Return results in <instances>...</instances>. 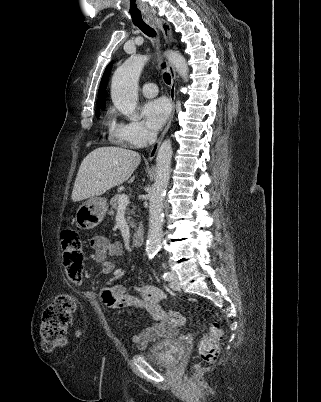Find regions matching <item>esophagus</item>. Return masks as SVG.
<instances>
[{"instance_id":"34e87169","label":"esophagus","mask_w":321,"mask_h":402,"mask_svg":"<svg viewBox=\"0 0 321 402\" xmlns=\"http://www.w3.org/2000/svg\"><path fill=\"white\" fill-rule=\"evenodd\" d=\"M153 23H155L157 25V27L159 28V30L162 32L166 44L171 45L174 42V36H173V32H172L170 24L163 18H157L153 21ZM168 70H169V73L171 76L169 98L171 101L172 109H171V114H170V117H169V120H168V123H167L165 129L163 130V132L159 136L158 140L154 143V145L152 146V148L149 152L148 159L150 161L153 160L154 157L156 156L158 148H159L165 134L167 133L168 129L170 128V125L173 121V117H174V113H175V99H176L175 91H176V78L177 77H176V72H175L174 66L170 62L168 63Z\"/></svg>"}]
</instances>
